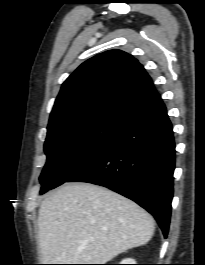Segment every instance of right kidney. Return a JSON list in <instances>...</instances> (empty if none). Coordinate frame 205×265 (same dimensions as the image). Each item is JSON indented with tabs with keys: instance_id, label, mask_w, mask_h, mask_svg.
<instances>
[{
	"instance_id": "right-kidney-1",
	"label": "right kidney",
	"mask_w": 205,
	"mask_h": 265,
	"mask_svg": "<svg viewBox=\"0 0 205 265\" xmlns=\"http://www.w3.org/2000/svg\"><path fill=\"white\" fill-rule=\"evenodd\" d=\"M123 262H121V264H136L135 260L131 259V258H127L122 260Z\"/></svg>"
}]
</instances>
